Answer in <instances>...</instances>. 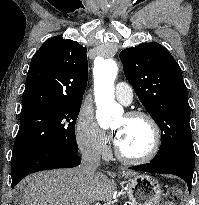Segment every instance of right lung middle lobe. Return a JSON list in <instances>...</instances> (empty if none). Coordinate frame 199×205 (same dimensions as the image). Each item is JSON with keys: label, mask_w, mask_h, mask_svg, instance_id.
I'll list each match as a JSON object with an SVG mask.
<instances>
[{"label": "right lung middle lobe", "mask_w": 199, "mask_h": 205, "mask_svg": "<svg viewBox=\"0 0 199 205\" xmlns=\"http://www.w3.org/2000/svg\"><path fill=\"white\" fill-rule=\"evenodd\" d=\"M80 106L53 104L21 111L11 162L47 148H62L76 153L75 122Z\"/></svg>", "instance_id": "dd1d6c3e"}]
</instances>
